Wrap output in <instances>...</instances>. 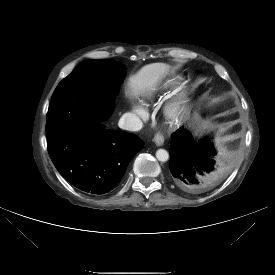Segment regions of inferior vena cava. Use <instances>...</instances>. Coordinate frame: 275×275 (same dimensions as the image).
Masks as SVG:
<instances>
[{
	"mask_svg": "<svg viewBox=\"0 0 275 275\" xmlns=\"http://www.w3.org/2000/svg\"><path fill=\"white\" fill-rule=\"evenodd\" d=\"M118 126L121 129L129 130V131H139L142 128L143 123L140 120V118L137 117L136 115L132 113H125L120 118L118 122Z\"/></svg>",
	"mask_w": 275,
	"mask_h": 275,
	"instance_id": "inferior-vena-cava-1",
	"label": "inferior vena cava"
}]
</instances>
